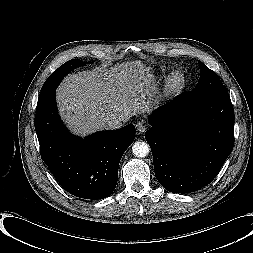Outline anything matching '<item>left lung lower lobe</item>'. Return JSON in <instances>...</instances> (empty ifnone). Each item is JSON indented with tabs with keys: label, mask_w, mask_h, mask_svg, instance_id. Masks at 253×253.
Listing matches in <instances>:
<instances>
[{
	"label": "left lung lower lobe",
	"mask_w": 253,
	"mask_h": 253,
	"mask_svg": "<svg viewBox=\"0 0 253 253\" xmlns=\"http://www.w3.org/2000/svg\"><path fill=\"white\" fill-rule=\"evenodd\" d=\"M145 132L159 183L190 193L216 177L233 149L234 112L224 85L201 98L186 92L160 107Z\"/></svg>",
	"instance_id": "obj_1"
}]
</instances>
